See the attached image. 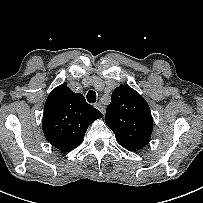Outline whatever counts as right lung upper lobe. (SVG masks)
Masks as SVG:
<instances>
[{
	"label": "right lung upper lobe",
	"mask_w": 203,
	"mask_h": 203,
	"mask_svg": "<svg viewBox=\"0 0 203 203\" xmlns=\"http://www.w3.org/2000/svg\"><path fill=\"white\" fill-rule=\"evenodd\" d=\"M101 117V112L87 104L82 94L62 84L51 91L45 102L42 128L52 146L69 152L83 142L88 126Z\"/></svg>",
	"instance_id": "obj_1"
}]
</instances>
